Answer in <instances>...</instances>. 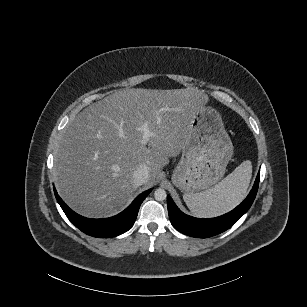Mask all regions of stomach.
Returning a JSON list of instances; mask_svg holds the SVG:
<instances>
[{"label":"stomach","instance_id":"1","mask_svg":"<svg viewBox=\"0 0 307 307\" xmlns=\"http://www.w3.org/2000/svg\"><path fill=\"white\" fill-rule=\"evenodd\" d=\"M233 156V144L220 112L200 104L190 120L182 158L173 183L185 193H195L216 184Z\"/></svg>","mask_w":307,"mask_h":307}]
</instances>
